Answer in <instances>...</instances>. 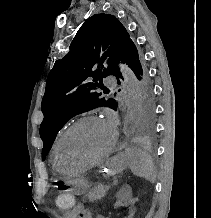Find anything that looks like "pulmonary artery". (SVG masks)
<instances>
[{"instance_id":"obj_1","label":"pulmonary artery","mask_w":211,"mask_h":218,"mask_svg":"<svg viewBox=\"0 0 211 218\" xmlns=\"http://www.w3.org/2000/svg\"><path fill=\"white\" fill-rule=\"evenodd\" d=\"M104 85H107L108 89H112L113 91H116L118 88L119 81L114 80L115 76L114 75H105L104 76Z\"/></svg>"}]
</instances>
